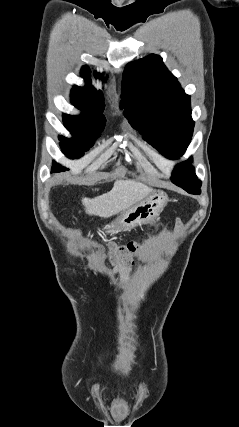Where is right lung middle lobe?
<instances>
[{"label": "right lung middle lobe", "instance_id": "1", "mask_svg": "<svg viewBox=\"0 0 239 427\" xmlns=\"http://www.w3.org/2000/svg\"><path fill=\"white\" fill-rule=\"evenodd\" d=\"M64 126L71 132L73 139L59 136L60 145L67 157L79 158L93 146L103 131L106 119L101 115L82 114L79 116L63 115ZM65 168L54 162L52 171L60 172Z\"/></svg>", "mask_w": 239, "mask_h": 427}]
</instances>
